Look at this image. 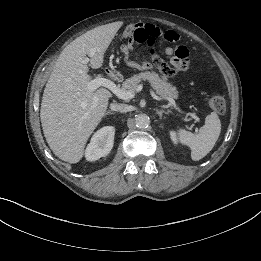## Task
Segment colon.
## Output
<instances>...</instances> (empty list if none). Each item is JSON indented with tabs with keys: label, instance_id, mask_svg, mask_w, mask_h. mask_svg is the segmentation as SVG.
<instances>
[{
	"label": "colon",
	"instance_id": "colon-1",
	"mask_svg": "<svg viewBox=\"0 0 261 261\" xmlns=\"http://www.w3.org/2000/svg\"><path fill=\"white\" fill-rule=\"evenodd\" d=\"M120 36L122 39H130L137 45H146L150 49L152 64L158 68L163 74L171 76L172 70L167 62L158 56L155 52V41H169L176 42L179 37V32L176 29L169 30L166 28L157 27L150 22H139L137 20L127 19L123 23ZM177 52L183 55V49L178 45L176 46ZM208 107L218 113L223 114L226 111V100L221 95H213L207 101Z\"/></svg>",
	"mask_w": 261,
	"mask_h": 261
}]
</instances>
